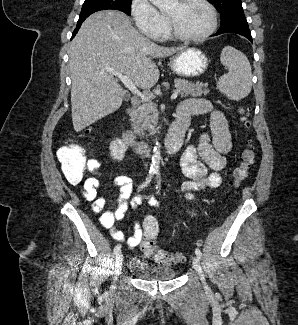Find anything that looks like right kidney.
<instances>
[{
	"instance_id": "right-kidney-1",
	"label": "right kidney",
	"mask_w": 298,
	"mask_h": 325,
	"mask_svg": "<svg viewBox=\"0 0 298 325\" xmlns=\"http://www.w3.org/2000/svg\"><path fill=\"white\" fill-rule=\"evenodd\" d=\"M109 148L112 158L122 160L128 148V142H124L123 138H116V140H112V142H110Z\"/></svg>"
}]
</instances>
